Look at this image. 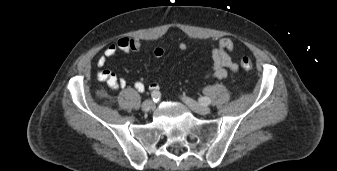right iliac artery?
Returning <instances> with one entry per match:
<instances>
[{
	"label": "right iliac artery",
	"mask_w": 337,
	"mask_h": 171,
	"mask_svg": "<svg viewBox=\"0 0 337 171\" xmlns=\"http://www.w3.org/2000/svg\"><path fill=\"white\" fill-rule=\"evenodd\" d=\"M151 96L154 102L159 101V99L161 98V94L159 91H153Z\"/></svg>",
	"instance_id": "right-iliac-artery-1"
}]
</instances>
